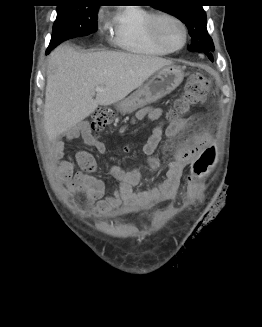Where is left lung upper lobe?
<instances>
[{
  "instance_id": "left-lung-upper-lobe-1",
  "label": "left lung upper lobe",
  "mask_w": 262,
  "mask_h": 327,
  "mask_svg": "<svg viewBox=\"0 0 262 327\" xmlns=\"http://www.w3.org/2000/svg\"><path fill=\"white\" fill-rule=\"evenodd\" d=\"M194 0H157L154 8L175 15L186 24L192 43L189 50L212 52L214 45L206 29V13Z\"/></svg>"
}]
</instances>
